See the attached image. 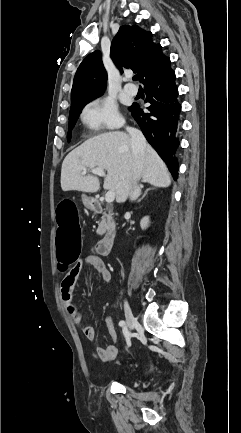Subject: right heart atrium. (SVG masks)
<instances>
[{
	"label": "right heart atrium",
	"mask_w": 241,
	"mask_h": 433,
	"mask_svg": "<svg viewBox=\"0 0 241 433\" xmlns=\"http://www.w3.org/2000/svg\"><path fill=\"white\" fill-rule=\"evenodd\" d=\"M81 120L90 129H115L122 125V118L115 102L109 98L95 99L81 113Z\"/></svg>",
	"instance_id": "obj_1"
}]
</instances>
